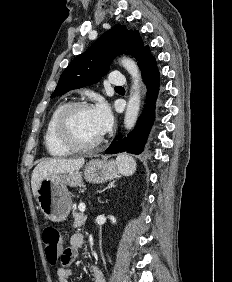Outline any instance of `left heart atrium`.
<instances>
[{
	"mask_svg": "<svg viewBox=\"0 0 232 282\" xmlns=\"http://www.w3.org/2000/svg\"><path fill=\"white\" fill-rule=\"evenodd\" d=\"M93 115H94V119L97 124V127L99 131L101 132V134H104L108 130H110L112 123H113V117H112V113L107 103H105L104 101H100L93 108Z\"/></svg>",
	"mask_w": 232,
	"mask_h": 282,
	"instance_id": "obj_1",
	"label": "left heart atrium"
}]
</instances>
